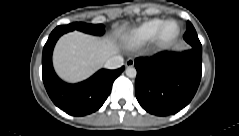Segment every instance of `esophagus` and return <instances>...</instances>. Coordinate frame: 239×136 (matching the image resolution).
I'll use <instances>...</instances> for the list:
<instances>
[{
  "mask_svg": "<svg viewBox=\"0 0 239 136\" xmlns=\"http://www.w3.org/2000/svg\"><path fill=\"white\" fill-rule=\"evenodd\" d=\"M125 65H126L127 67L133 66V65H134V59L129 58V59L126 61Z\"/></svg>",
  "mask_w": 239,
  "mask_h": 136,
  "instance_id": "1",
  "label": "esophagus"
}]
</instances>
